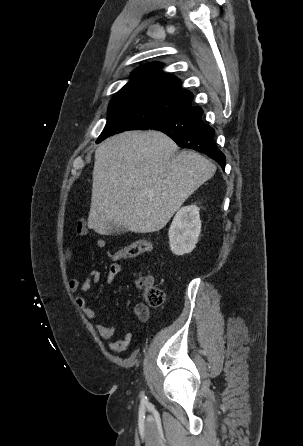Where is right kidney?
<instances>
[{"mask_svg":"<svg viewBox=\"0 0 303 446\" xmlns=\"http://www.w3.org/2000/svg\"><path fill=\"white\" fill-rule=\"evenodd\" d=\"M199 210L196 205H188L176 213L168 232L173 254H188L196 247L201 232Z\"/></svg>","mask_w":303,"mask_h":446,"instance_id":"right-kidney-1","label":"right kidney"}]
</instances>
